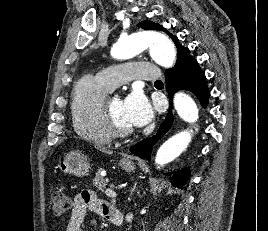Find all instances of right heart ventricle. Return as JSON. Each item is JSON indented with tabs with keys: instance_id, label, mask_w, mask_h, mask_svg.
<instances>
[{
	"instance_id": "obj_1",
	"label": "right heart ventricle",
	"mask_w": 268,
	"mask_h": 231,
	"mask_svg": "<svg viewBox=\"0 0 268 231\" xmlns=\"http://www.w3.org/2000/svg\"><path fill=\"white\" fill-rule=\"evenodd\" d=\"M111 90L97 77L85 76L77 83L70 102V113L74 131L79 136L101 145L112 141L103 111Z\"/></svg>"
}]
</instances>
